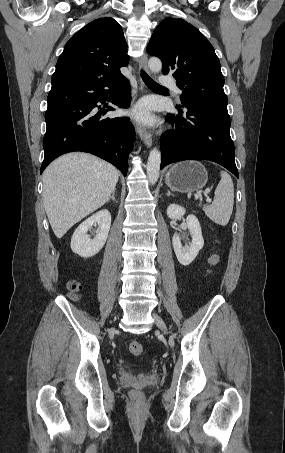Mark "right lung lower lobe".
Listing matches in <instances>:
<instances>
[{"instance_id":"98d812e1","label":"right lung lower lobe","mask_w":285,"mask_h":453,"mask_svg":"<svg viewBox=\"0 0 285 453\" xmlns=\"http://www.w3.org/2000/svg\"><path fill=\"white\" fill-rule=\"evenodd\" d=\"M108 94L113 95V104L128 107L131 87L127 79L123 76L97 83L80 80L52 83L45 113V154L40 173L58 156L83 151L112 163L127 174L128 154L135 140L132 123L126 117L100 118L102 112L93 115L97 103H104ZM112 110L114 108L108 107L104 114Z\"/></svg>"}]
</instances>
